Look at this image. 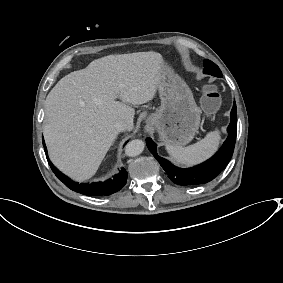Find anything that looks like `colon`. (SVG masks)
Returning <instances> with one entry per match:
<instances>
[{"label":"colon","mask_w":283,"mask_h":283,"mask_svg":"<svg viewBox=\"0 0 283 283\" xmlns=\"http://www.w3.org/2000/svg\"><path fill=\"white\" fill-rule=\"evenodd\" d=\"M201 104L207 114H214L221 105V95L213 85H205L202 89Z\"/></svg>","instance_id":"colon-1"}]
</instances>
